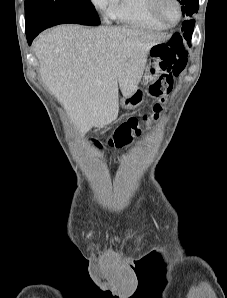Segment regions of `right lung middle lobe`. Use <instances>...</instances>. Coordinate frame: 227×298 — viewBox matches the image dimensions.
<instances>
[{
    "label": "right lung middle lobe",
    "mask_w": 227,
    "mask_h": 298,
    "mask_svg": "<svg viewBox=\"0 0 227 298\" xmlns=\"http://www.w3.org/2000/svg\"><path fill=\"white\" fill-rule=\"evenodd\" d=\"M25 22L26 34L64 23L100 24L90 0H25Z\"/></svg>",
    "instance_id": "1"
}]
</instances>
